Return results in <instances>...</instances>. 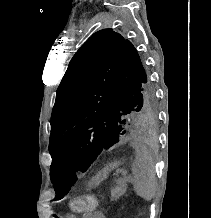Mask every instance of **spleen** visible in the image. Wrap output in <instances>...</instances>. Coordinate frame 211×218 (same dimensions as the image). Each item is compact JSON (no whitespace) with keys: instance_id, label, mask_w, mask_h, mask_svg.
Returning a JSON list of instances; mask_svg holds the SVG:
<instances>
[{"instance_id":"3e777b00","label":"spleen","mask_w":211,"mask_h":218,"mask_svg":"<svg viewBox=\"0 0 211 218\" xmlns=\"http://www.w3.org/2000/svg\"><path fill=\"white\" fill-rule=\"evenodd\" d=\"M134 174V190L144 200H152L156 192V176L152 158L144 150H136V158L132 164Z\"/></svg>"}]
</instances>
